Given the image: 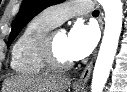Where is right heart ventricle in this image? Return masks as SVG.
<instances>
[{"label": "right heart ventricle", "instance_id": "e07e8e85", "mask_svg": "<svg viewBox=\"0 0 127 92\" xmlns=\"http://www.w3.org/2000/svg\"><path fill=\"white\" fill-rule=\"evenodd\" d=\"M57 24L43 12L31 19L11 50V68L18 74L38 75L49 72L40 57V43L44 35Z\"/></svg>", "mask_w": 127, "mask_h": 92}]
</instances>
